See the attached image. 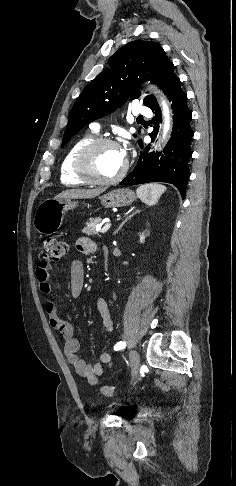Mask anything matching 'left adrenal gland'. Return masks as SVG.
<instances>
[{"mask_svg":"<svg viewBox=\"0 0 236 486\" xmlns=\"http://www.w3.org/2000/svg\"><path fill=\"white\" fill-rule=\"evenodd\" d=\"M140 210L136 209L135 211H133L129 216L126 217V219L121 223V225L116 229V231L114 232V235L116 233H118V231L123 227V225L129 220L131 219V217H133L134 215H136L137 213H139Z\"/></svg>","mask_w":236,"mask_h":486,"instance_id":"a2214340","label":"left adrenal gland"}]
</instances>
